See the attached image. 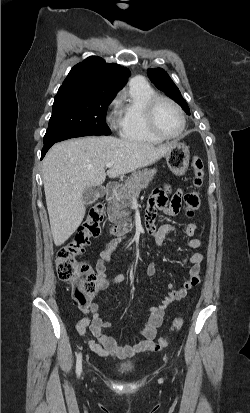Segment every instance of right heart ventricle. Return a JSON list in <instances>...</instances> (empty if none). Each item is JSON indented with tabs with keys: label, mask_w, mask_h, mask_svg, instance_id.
I'll return each instance as SVG.
<instances>
[{
	"label": "right heart ventricle",
	"mask_w": 250,
	"mask_h": 413,
	"mask_svg": "<svg viewBox=\"0 0 250 413\" xmlns=\"http://www.w3.org/2000/svg\"><path fill=\"white\" fill-rule=\"evenodd\" d=\"M154 95L155 90L146 81L134 79L130 82L120 108L119 128L123 139L148 144L161 141L149 132L146 125V104Z\"/></svg>",
	"instance_id": "e07e8e85"
}]
</instances>
